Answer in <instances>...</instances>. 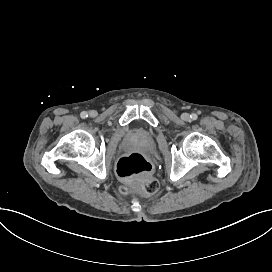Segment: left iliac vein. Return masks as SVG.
Returning a JSON list of instances; mask_svg holds the SVG:
<instances>
[{"label": "left iliac vein", "mask_w": 272, "mask_h": 272, "mask_svg": "<svg viewBox=\"0 0 272 272\" xmlns=\"http://www.w3.org/2000/svg\"><path fill=\"white\" fill-rule=\"evenodd\" d=\"M182 118H183V120H185V121H187V120H189V114H187V113H184L183 115H182Z\"/></svg>", "instance_id": "obj_1"}]
</instances>
